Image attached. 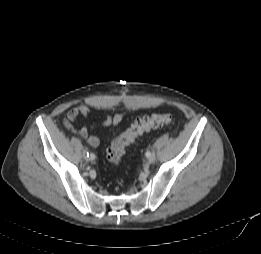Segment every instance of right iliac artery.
Returning a JSON list of instances; mask_svg holds the SVG:
<instances>
[{
  "label": "right iliac artery",
  "instance_id": "82829eb1",
  "mask_svg": "<svg viewBox=\"0 0 261 254\" xmlns=\"http://www.w3.org/2000/svg\"><path fill=\"white\" fill-rule=\"evenodd\" d=\"M85 153L87 154V157H90L91 160L95 158V155L93 153H89L88 151H85Z\"/></svg>",
  "mask_w": 261,
  "mask_h": 254
}]
</instances>
